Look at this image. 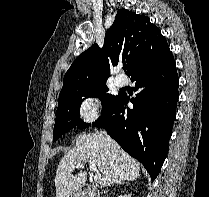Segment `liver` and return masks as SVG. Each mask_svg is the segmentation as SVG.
<instances>
[{"instance_id":"obj_1","label":"liver","mask_w":209,"mask_h":197,"mask_svg":"<svg viewBox=\"0 0 209 197\" xmlns=\"http://www.w3.org/2000/svg\"><path fill=\"white\" fill-rule=\"evenodd\" d=\"M76 145L60 160L55 176L56 197H70L86 181L87 173L72 175L75 167L93 162L101 174V187L133 181L140 176V164L120 145L108 142L100 133H83L76 137Z\"/></svg>"}]
</instances>
